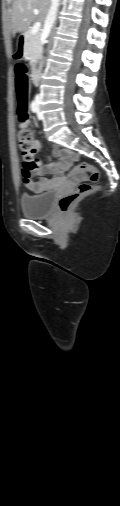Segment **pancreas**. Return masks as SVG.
Returning <instances> with one entry per match:
<instances>
[{
  "label": "pancreas",
  "instance_id": "1",
  "mask_svg": "<svg viewBox=\"0 0 120 506\" xmlns=\"http://www.w3.org/2000/svg\"><path fill=\"white\" fill-rule=\"evenodd\" d=\"M40 36L41 34L39 32L32 34L31 29L25 33L24 51L25 56L30 60H34L41 55L42 45L40 42Z\"/></svg>",
  "mask_w": 120,
  "mask_h": 506
}]
</instances>
